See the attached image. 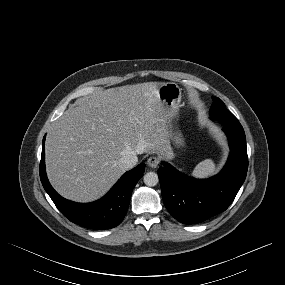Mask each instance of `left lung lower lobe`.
<instances>
[{
    "instance_id": "left-lung-lower-lobe-1",
    "label": "left lung lower lobe",
    "mask_w": 285,
    "mask_h": 285,
    "mask_svg": "<svg viewBox=\"0 0 285 285\" xmlns=\"http://www.w3.org/2000/svg\"><path fill=\"white\" fill-rule=\"evenodd\" d=\"M223 124L231 152L218 175L199 180L165 162L158 170L164 204L183 224H197L225 211L246 178L248 157L243 127L240 123Z\"/></svg>"
}]
</instances>
